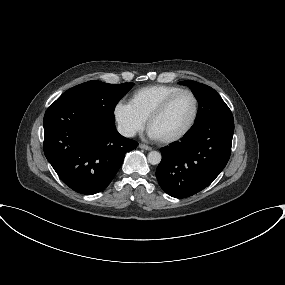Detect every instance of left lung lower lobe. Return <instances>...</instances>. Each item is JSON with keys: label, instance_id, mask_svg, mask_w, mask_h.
Here are the masks:
<instances>
[{"label": "left lung lower lobe", "instance_id": "1", "mask_svg": "<svg viewBox=\"0 0 285 285\" xmlns=\"http://www.w3.org/2000/svg\"><path fill=\"white\" fill-rule=\"evenodd\" d=\"M234 133L233 119L191 127L180 141L161 148L156 177L170 196L185 198L210 185L226 166Z\"/></svg>", "mask_w": 285, "mask_h": 285}]
</instances>
